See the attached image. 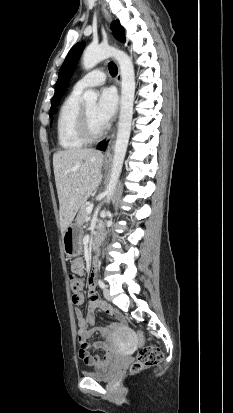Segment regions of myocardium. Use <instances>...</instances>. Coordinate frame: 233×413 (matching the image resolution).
<instances>
[{
  "label": "myocardium",
  "mask_w": 233,
  "mask_h": 413,
  "mask_svg": "<svg viewBox=\"0 0 233 413\" xmlns=\"http://www.w3.org/2000/svg\"><path fill=\"white\" fill-rule=\"evenodd\" d=\"M105 132L104 127L97 133L93 131L86 107L82 106L78 121V133L81 139L86 143L97 142L104 137Z\"/></svg>",
  "instance_id": "1"
}]
</instances>
